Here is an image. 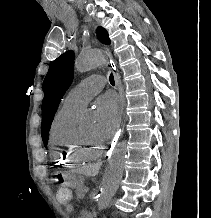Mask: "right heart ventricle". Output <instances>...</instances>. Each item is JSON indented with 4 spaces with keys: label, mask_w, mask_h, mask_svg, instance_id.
I'll return each mask as SVG.
<instances>
[{
    "label": "right heart ventricle",
    "mask_w": 211,
    "mask_h": 218,
    "mask_svg": "<svg viewBox=\"0 0 211 218\" xmlns=\"http://www.w3.org/2000/svg\"><path fill=\"white\" fill-rule=\"evenodd\" d=\"M80 111L62 107L57 111L51 126L53 165L58 169H75L76 165L95 159L98 155L80 148L77 142V120Z\"/></svg>",
    "instance_id": "1"
}]
</instances>
